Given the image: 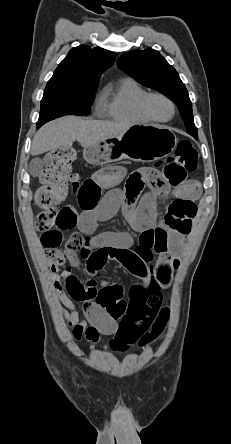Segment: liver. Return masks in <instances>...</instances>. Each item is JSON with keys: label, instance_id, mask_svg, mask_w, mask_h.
Wrapping results in <instances>:
<instances>
[{"label": "liver", "instance_id": "1", "mask_svg": "<svg viewBox=\"0 0 231 444\" xmlns=\"http://www.w3.org/2000/svg\"><path fill=\"white\" fill-rule=\"evenodd\" d=\"M132 125L110 121L84 120L66 116L42 126L32 141L31 154L38 155L58 148H71L78 141L85 149L105 138L119 136Z\"/></svg>", "mask_w": 231, "mask_h": 444}]
</instances>
